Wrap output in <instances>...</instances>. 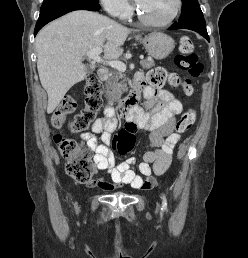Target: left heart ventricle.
Wrapping results in <instances>:
<instances>
[{
    "label": "left heart ventricle",
    "mask_w": 248,
    "mask_h": 258,
    "mask_svg": "<svg viewBox=\"0 0 248 258\" xmlns=\"http://www.w3.org/2000/svg\"><path fill=\"white\" fill-rule=\"evenodd\" d=\"M141 13L149 20H167L175 11L176 0H136Z\"/></svg>",
    "instance_id": "1"
}]
</instances>
